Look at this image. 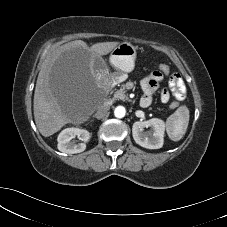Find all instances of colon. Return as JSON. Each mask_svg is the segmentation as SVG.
Segmentation results:
<instances>
[{
	"instance_id": "5ec220e1",
	"label": "colon",
	"mask_w": 227,
	"mask_h": 227,
	"mask_svg": "<svg viewBox=\"0 0 227 227\" xmlns=\"http://www.w3.org/2000/svg\"><path fill=\"white\" fill-rule=\"evenodd\" d=\"M158 69H159V71H160L161 73H163V74H169V73H170V68H169L168 65L162 64V65L159 66ZM177 106H178V103H177V102L171 103V107H172V108H176Z\"/></svg>"
}]
</instances>
